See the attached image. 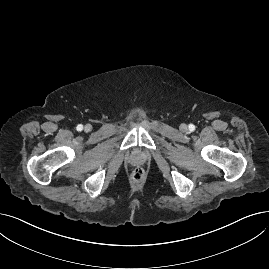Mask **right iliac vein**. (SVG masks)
<instances>
[{
	"label": "right iliac vein",
	"mask_w": 269,
	"mask_h": 269,
	"mask_svg": "<svg viewBox=\"0 0 269 269\" xmlns=\"http://www.w3.org/2000/svg\"><path fill=\"white\" fill-rule=\"evenodd\" d=\"M92 130V125L91 124H86L84 127L85 132H90Z\"/></svg>",
	"instance_id": "right-iliac-vein-1"
}]
</instances>
